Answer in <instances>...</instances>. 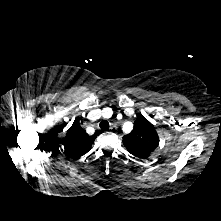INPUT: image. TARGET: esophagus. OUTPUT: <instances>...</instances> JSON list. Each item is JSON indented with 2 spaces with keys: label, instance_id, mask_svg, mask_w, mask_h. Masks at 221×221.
I'll return each mask as SVG.
<instances>
[{
  "label": "esophagus",
  "instance_id": "obj_1",
  "mask_svg": "<svg viewBox=\"0 0 221 221\" xmlns=\"http://www.w3.org/2000/svg\"><path fill=\"white\" fill-rule=\"evenodd\" d=\"M110 129H111L112 132L116 131V127L115 126H112Z\"/></svg>",
  "mask_w": 221,
  "mask_h": 221
}]
</instances>
